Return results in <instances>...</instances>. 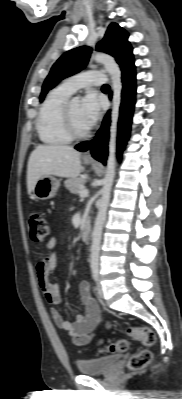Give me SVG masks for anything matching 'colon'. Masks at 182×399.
<instances>
[{
	"instance_id": "5ec220e1",
	"label": "colon",
	"mask_w": 182,
	"mask_h": 399,
	"mask_svg": "<svg viewBox=\"0 0 182 399\" xmlns=\"http://www.w3.org/2000/svg\"><path fill=\"white\" fill-rule=\"evenodd\" d=\"M31 239L35 242H43L49 235L50 224L46 217L38 212L33 211L28 218ZM128 334L135 340L140 341L144 346L150 347L155 343L154 332L144 326H132L128 329ZM129 348L127 339H119L109 343L104 351L109 353L124 352ZM152 360V353L148 349H141L135 353L128 362L130 370L137 371L146 367Z\"/></svg>"
}]
</instances>
